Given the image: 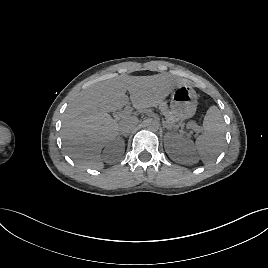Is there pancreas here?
<instances>
[{
	"mask_svg": "<svg viewBox=\"0 0 268 268\" xmlns=\"http://www.w3.org/2000/svg\"><path fill=\"white\" fill-rule=\"evenodd\" d=\"M160 110L166 118V122L168 123L169 127L175 126V123L178 119L167 109L165 104H160Z\"/></svg>",
	"mask_w": 268,
	"mask_h": 268,
	"instance_id": "obj_1",
	"label": "pancreas"
}]
</instances>
